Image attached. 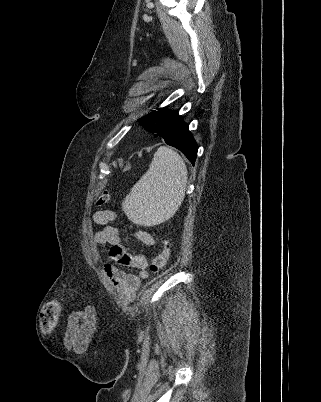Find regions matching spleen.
<instances>
[{"label":"spleen","instance_id":"3e777b00","mask_svg":"<svg viewBox=\"0 0 321 402\" xmlns=\"http://www.w3.org/2000/svg\"><path fill=\"white\" fill-rule=\"evenodd\" d=\"M187 179V167L182 157L161 146L147 172L124 199L123 211L137 225H157L178 210L185 196Z\"/></svg>","mask_w":321,"mask_h":402}]
</instances>
